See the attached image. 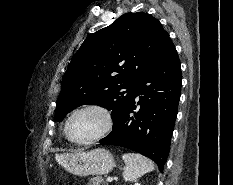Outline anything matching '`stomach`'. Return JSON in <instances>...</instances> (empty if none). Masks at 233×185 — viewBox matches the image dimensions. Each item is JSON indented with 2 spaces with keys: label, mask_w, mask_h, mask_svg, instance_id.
I'll use <instances>...</instances> for the list:
<instances>
[{
  "label": "stomach",
  "mask_w": 233,
  "mask_h": 185,
  "mask_svg": "<svg viewBox=\"0 0 233 185\" xmlns=\"http://www.w3.org/2000/svg\"><path fill=\"white\" fill-rule=\"evenodd\" d=\"M56 159L59 165L76 176L107 174L115 165L113 155L104 148L75 150L60 154Z\"/></svg>",
  "instance_id": "stomach-1"
}]
</instances>
